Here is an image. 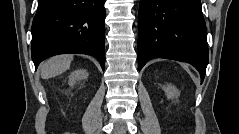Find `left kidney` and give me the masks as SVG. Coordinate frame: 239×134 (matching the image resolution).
<instances>
[{
  "label": "left kidney",
  "mask_w": 239,
  "mask_h": 134,
  "mask_svg": "<svg viewBox=\"0 0 239 134\" xmlns=\"http://www.w3.org/2000/svg\"><path fill=\"white\" fill-rule=\"evenodd\" d=\"M163 90L165 91V94L168 99H174L180 96L179 90L172 84H167Z\"/></svg>",
  "instance_id": "1"
}]
</instances>
